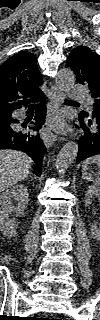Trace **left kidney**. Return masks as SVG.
Listing matches in <instances>:
<instances>
[{
    "mask_svg": "<svg viewBox=\"0 0 100 320\" xmlns=\"http://www.w3.org/2000/svg\"><path fill=\"white\" fill-rule=\"evenodd\" d=\"M99 195H100V184L95 183V184L91 185L85 194L86 206H90L92 204V201L94 200V197H98ZM91 233L95 237H99L100 229L97 226V223L92 224Z\"/></svg>",
    "mask_w": 100,
    "mask_h": 320,
    "instance_id": "left-kidney-1",
    "label": "left kidney"
}]
</instances>
